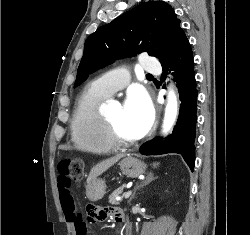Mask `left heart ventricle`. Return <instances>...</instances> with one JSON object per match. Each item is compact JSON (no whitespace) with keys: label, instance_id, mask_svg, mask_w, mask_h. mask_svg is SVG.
Here are the masks:
<instances>
[{"label":"left heart ventricle","instance_id":"obj_1","mask_svg":"<svg viewBox=\"0 0 250 235\" xmlns=\"http://www.w3.org/2000/svg\"><path fill=\"white\" fill-rule=\"evenodd\" d=\"M115 123L120 135L129 141L138 139L132 124L125 114L124 107H117L106 114Z\"/></svg>","mask_w":250,"mask_h":235}]
</instances>
